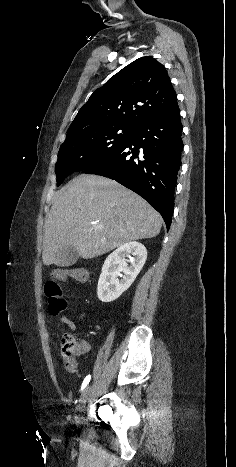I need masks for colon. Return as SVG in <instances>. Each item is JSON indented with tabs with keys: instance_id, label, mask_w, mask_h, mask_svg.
<instances>
[{
	"instance_id": "1",
	"label": "colon",
	"mask_w": 236,
	"mask_h": 467,
	"mask_svg": "<svg viewBox=\"0 0 236 467\" xmlns=\"http://www.w3.org/2000/svg\"><path fill=\"white\" fill-rule=\"evenodd\" d=\"M73 279L84 282L87 279V270L83 267H59L53 271L52 279L45 286L48 310L51 315H58L67 306L58 281ZM85 343L78 341L71 334H64L60 341L61 358L68 371H75L79 358L84 351Z\"/></svg>"
}]
</instances>
